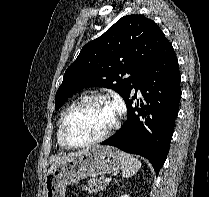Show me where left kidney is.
<instances>
[{
	"mask_svg": "<svg viewBox=\"0 0 209 197\" xmlns=\"http://www.w3.org/2000/svg\"><path fill=\"white\" fill-rule=\"evenodd\" d=\"M121 197H129V195H127V194H124V195H121Z\"/></svg>",
	"mask_w": 209,
	"mask_h": 197,
	"instance_id": "obj_1",
	"label": "left kidney"
}]
</instances>
